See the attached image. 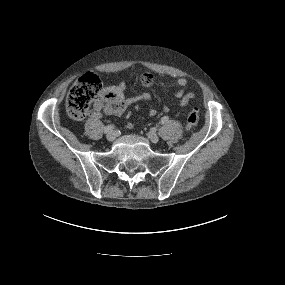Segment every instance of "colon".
<instances>
[{
	"label": "colon",
	"instance_id": "1",
	"mask_svg": "<svg viewBox=\"0 0 285 285\" xmlns=\"http://www.w3.org/2000/svg\"><path fill=\"white\" fill-rule=\"evenodd\" d=\"M102 96V84L99 77L93 73H86L76 80L66 98V111L75 120L84 119L90 112L92 105ZM199 121V111L193 106L186 120L188 130L194 128Z\"/></svg>",
	"mask_w": 285,
	"mask_h": 285
}]
</instances>
